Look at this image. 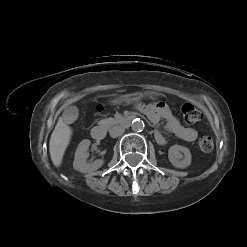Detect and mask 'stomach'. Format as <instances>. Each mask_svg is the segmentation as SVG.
<instances>
[{"mask_svg":"<svg viewBox=\"0 0 247 247\" xmlns=\"http://www.w3.org/2000/svg\"><path fill=\"white\" fill-rule=\"evenodd\" d=\"M147 96L150 99H157L159 98V94L156 92H150L147 94ZM144 98V94L142 93H132V94H127L123 97H120L119 99L116 100V103H136L141 101Z\"/></svg>","mask_w":247,"mask_h":247,"instance_id":"stomach-1","label":"stomach"}]
</instances>
